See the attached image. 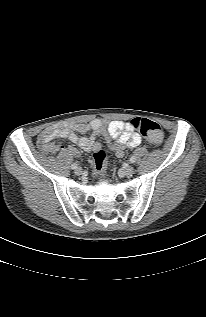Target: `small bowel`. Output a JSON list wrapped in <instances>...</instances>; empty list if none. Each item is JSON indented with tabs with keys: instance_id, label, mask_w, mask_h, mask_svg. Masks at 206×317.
I'll return each instance as SVG.
<instances>
[{
	"instance_id": "1",
	"label": "small bowel",
	"mask_w": 206,
	"mask_h": 317,
	"mask_svg": "<svg viewBox=\"0 0 206 317\" xmlns=\"http://www.w3.org/2000/svg\"><path fill=\"white\" fill-rule=\"evenodd\" d=\"M91 131L89 137L79 134H85ZM98 136H104L110 149L117 157L124 156V150L137 147L141 144V136L135 132L130 122L113 120L107 122L102 119H94L89 123H77L67 127H47L42 130L38 136L40 146L47 152L56 153L63 146L57 140L67 139L78 145L84 151H97L100 149V143L97 141ZM67 151L78 156L79 151L69 146Z\"/></svg>"
}]
</instances>
